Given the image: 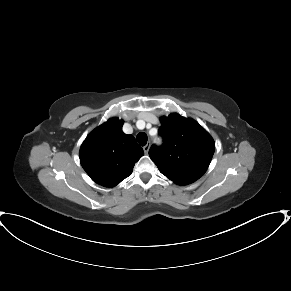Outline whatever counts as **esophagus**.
Segmentation results:
<instances>
[{"label":"esophagus","instance_id":"1","mask_svg":"<svg viewBox=\"0 0 291 291\" xmlns=\"http://www.w3.org/2000/svg\"><path fill=\"white\" fill-rule=\"evenodd\" d=\"M149 149H150L149 144L145 145V146L143 147L144 153H145V154H148Z\"/></svg>","mask_w":291,"mask_h":291}]
</instances>
